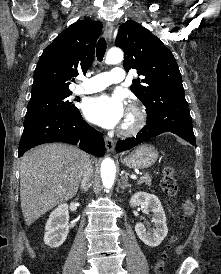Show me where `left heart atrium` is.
I'll return each mask as SVG.
<instances>
[{"instance_id":"obj_1","label":"left heart atrium","mask_w":221,"mask_h":274,"mask_svg":"<svg viewBox=\"0 0 221 274\" xmlns=\"http://www.w3.org/2000/svg\"><path fill=\"white\" fill-rule=\"evenodd\" d=\"M87 120L104 128H114L125 117V107L120 95L101 94L87 99L83 106Z\"/></svg>"}]
</instances>
